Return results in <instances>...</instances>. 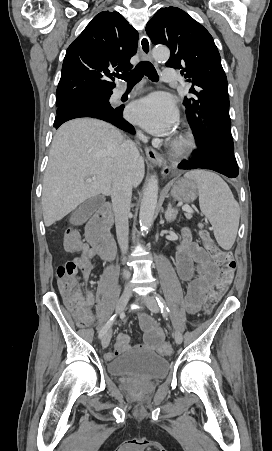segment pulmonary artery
I'll return each instance as SVG.
<instances>
[{"mask_svg":"<svg viewBox=\"0 0 272 451\" xmlns=\"http://www.w3.org/2000/svg\"><path fill=\"white\" fill-rule=\"evenodd\" d=\"M161 77L162 79L167 82V84L169 85H174L178 82V79L176 78V72L173 66L171 65H167L163 68L162 72H161ZM123 91H115L112 94V99L113 100H117L119 99L122 95H123Z\"/></svg>","mask_w":272,"mask_h":451,"instance_id":"e3ab8cb5","label":"pulmonary artery"}]
</instances>
